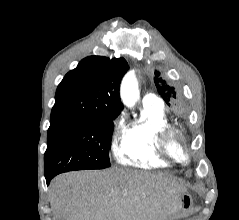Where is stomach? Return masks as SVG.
Listing matches in <instances>:
<instances>
[{"instance_id": "stomach-1", "label": "stomach", "mask_w": 239, "mask_h": 220, "mask_svg": "<svg viewBox=\"0 0 239 220\" xmlns=\"http://www.w3.org/2000/svg\"><path fill=\"white\" fill-rule=\"evenodd\" d=\"M179 207L182 211H188L192 207V198L189 194L184 193L179 197Z\"/></svg>"}]
</instances>
